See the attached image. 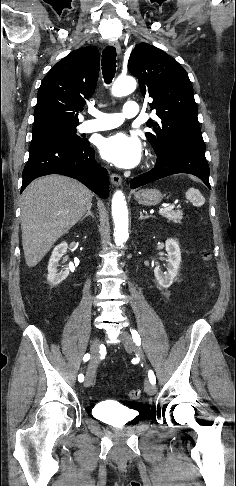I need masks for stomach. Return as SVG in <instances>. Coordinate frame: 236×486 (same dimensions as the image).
<instances>
[{"instance_id": "0dacf381", "label": "stomach", "mask_w": 236, "mask_h": 486, "mask_svg": "<svg viewBox=\"0 0 236 486\" xmlns=\"http://www.w3.org/2000/svg\"><path fill=\"white\" fill-rule=\"evenodd\" d=\"M135 199L141 205L153 206L162 201L163 195L157 189H142L135 193Z\"/></svg>"}]
</instances>
